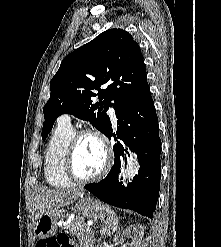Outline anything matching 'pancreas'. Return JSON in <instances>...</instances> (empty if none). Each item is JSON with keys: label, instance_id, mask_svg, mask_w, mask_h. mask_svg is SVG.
<instances>
[{"label": "pancreas", "instance_id": "pancreas-1", "mask_svg": "<svg viewBox=\"0 0 221 247\" xmlns=\"http://www.w3.org/2000/svg\"><path fill=\"white\" fill-rule=\"evenodd\" d=\"M65 228L77 237L82 247L94 246V235L86 226L82 217H75L70 223L66 224Z\"/></svg>", "mask_w": 221, "mask_h": 247}]
</instances>
